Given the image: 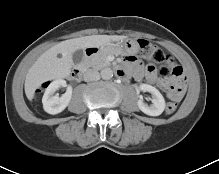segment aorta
I'll return each mask as SVG.
<instances>
[{"instance_id": "1", "label": "aorta", "mask_w": 219, "mask_h": 174, "mask_svg": "<svg viewBox=\"0 0 219 174\" xmlns=\"http://www.w3.org/2000/svg\"><path fill=\"white\" fill-rule=\"evenodd\" d=\"M100 74L104 80H109L113 77V71L111 68H104Z\"/></svg>"}]
</instances>
